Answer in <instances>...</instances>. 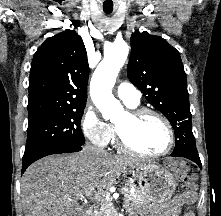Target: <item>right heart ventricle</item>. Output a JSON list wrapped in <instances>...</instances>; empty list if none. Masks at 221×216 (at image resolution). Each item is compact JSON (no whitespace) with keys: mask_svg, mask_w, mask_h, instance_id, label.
Masks as SVG:
<instances>
[{"mask_svg":"<svg viewBox=\"0 0 221 216\" xmlns=\"http://www.w3.org/2000/svg\"><path fill=\"white\" fill-rule=\"evenodd\" d=\"M129 107L135 108V107H137V105L136 106H129ZM112 138L114 139V129H113V136H112Z\"/></svg>","mask_w":221,"mask_h":216,"instance_id":"e07e8e85","label":"right heart ventricle"}]
</instances>
